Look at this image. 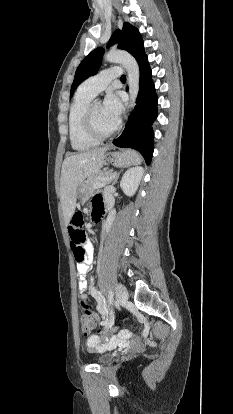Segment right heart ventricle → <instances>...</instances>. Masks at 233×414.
<instances>
[{
	"mask_svg": "<svg viewBox=\"0 0 233 414\" xmlns=\"http://www.w3.org/2000/svg\"><path fill=\"white\" fill-rule=\"evenodd\" d=\"M92 96L80 88L76 92L68 114L69 139L73 149L85 151L98 145L99 141L90 138L83 128V115Z\"/></svg>",
	"mask_w": 233,
	"mask_h": 414,
	"instance_id": "1",
	"label": "right heart ventricle"
}]
</instances>
